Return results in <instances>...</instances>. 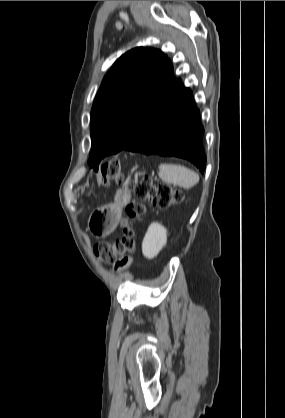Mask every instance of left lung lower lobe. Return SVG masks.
I'll return each instance as SVG.
<instances>
[{"mask_svg": "<svg viewBox=\"0 0 285 418\" xmlns=\"http://www.w3.org/2000/svg\"><path fill=\"white\" fill-rule=\"evenodd\" d=\"M203 134L192 92L178 79L123 150L183 158L203 172ZM106 156L100 154L102 159Z\"/></svg>", "mask_w": 285, "mask_h": 418, "instance_id": "0a47b994", "label": "left lung lower lobe"}]
</instances>
